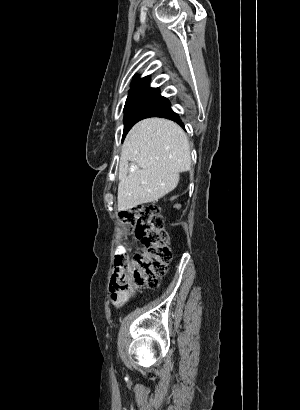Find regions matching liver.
Instances as JSON below:
<instances>
[{"mask_svg":"<svg viewBox=\"0 0 300 410\" xmlns=\"http://www.w3.org/2000/svg\"><path fill=\"white\" fill-rule=\"evenodd\" d=\"M129 161L140 169L128 174ZM190 168L189 141L179 125L162 118L138 122L122 146L118 210L158 201L176 188L179 173Z\"/></svg>","mask_w":300,"mask_h":410,"instance_id":"obj_1","label":"liver"}]
</instances>
